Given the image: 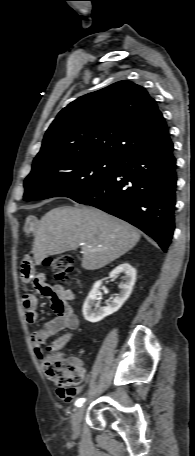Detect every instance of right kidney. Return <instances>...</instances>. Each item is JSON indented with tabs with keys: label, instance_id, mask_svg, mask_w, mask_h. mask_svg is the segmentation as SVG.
<instances>
[{
	"label": "right kidney",
	"instance_id": "obj_1",
	"mask_svg": "<svg viewBox=\"0 0 195 456\" xmlns=\"http://www.w3.org/2000/svg\"><path fill=\"white\" fill-rule=\"evenodd\" d=\"M121 273L124 274L122 277L124 282L119 286L120 292L107 307H100L98 296L99 287L104 279L94 283L82 309L85 320L92 323L99 322L106 316L117 312L126 302L136 281V270L129 263H122L110 272L109 278H116Z\"/></svg>",
	"mask_w": 195,
	"mask_h": 456
}]
</instances>
